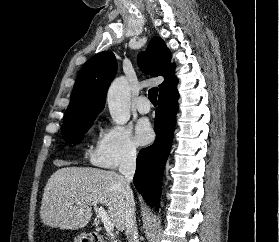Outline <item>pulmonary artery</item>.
I'll list each match as a JSON object with an SVG mask.
<instances>
[{"instance_id": "e3ab8cb5", "label": "pulmonary artery", "mask_w": 279, "mask_h": 242, "mask_svg": "<svg viewBox=\"0 0 279 242\" xmlns=\"http://www.w3.org/2000/svg\"><path fill=\"white\" fill-rule=\"evenodd\" d=\"M136 108H137L138 112L141 114L148 113L151 109V105H150L147 97H145V96L138 97V99L136 101Z\"/></svg>"}]
</instances>
